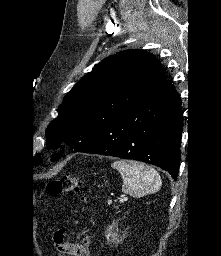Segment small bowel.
Listing matches in <instances>:
<instances>
[{"label": "small bowel", "instance_id": "obj_1", "mask_svg": "<svg viewBox=\"0 0 221 256\" xmlns=\"http://www.w3.org/2000/svg\"><path fill=\"white\" fill-rule=\"evenodd\" d=\"M63 248L73 256H91L87 238L77 243H66Z\"/></svg>", "mask_w": 221, "mask_h": 256}]
</instances>
